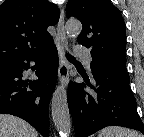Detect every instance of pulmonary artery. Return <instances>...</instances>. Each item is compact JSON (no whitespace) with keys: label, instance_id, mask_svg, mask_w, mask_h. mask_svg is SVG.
Masks as SVG:
<instances>
[{"label":"pulmonary artery","instance_id":"pulmonary-artery-1","mask_svg":"<svg viewBox=\"0 0 144 137\" xmlns=\"http://www.w3.org/2000/svg\"><path fill=\"white\" fill-rule=\"evenodd\" d=\"M75 53L78 56L82 57L85 60L86 64L88 66H90V64L92 62V56H91L90 52L87 49H85L81 45H78L76 50H75Z\"/></svg>","mask_w":144,"mask_h":137}]
</instances>
